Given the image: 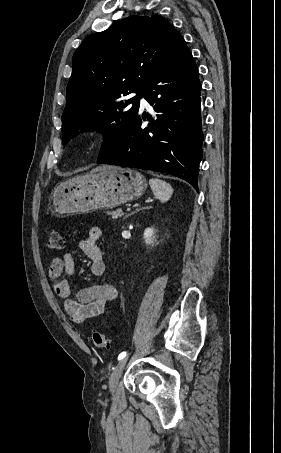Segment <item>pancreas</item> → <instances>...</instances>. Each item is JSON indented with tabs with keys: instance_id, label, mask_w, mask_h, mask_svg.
Masks as SVG:
<instances>
[{
	"instance_id": "1",
	"label": "pancreas",
	"mask_w": 281,
	"mask_h": 453,
	"mask_svg": "<svg viewBox=\"0 0 281 453\" xmlns=\"http://www.w3.org/2000/svg\"><path fill=\"white\" fill-rule=\"evenodd\" d=\"M110 214H112V218H117V216H122L123 212L121 208H117V210H113Z\"/></svg>"
}]
</instances>
